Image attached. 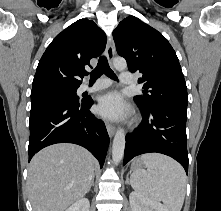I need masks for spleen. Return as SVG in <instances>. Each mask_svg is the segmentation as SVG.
Returning <instances> with one entry per match:
<instances>
[{"label": "spleen", "mask_w": 221, "mask_h": 211, "mask_svg": "<svg viewBox=\"0 0 221 211\" xmlns=\"http://www.w3.org/2000/svg\"><path fill=\"white\" fill-rule=\"evenodd\" d=\"M140 159L147 170L131 174L132 188L145 197L162 201L169 211H180L186 191V174L182 166L162 154H144Z\"/></svg>", "instance_id": "1"}]
</instances>
